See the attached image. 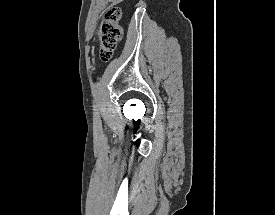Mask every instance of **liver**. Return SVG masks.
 <instances>
[{"label": "liver", "instance_id": "liver-1", "mask_svg": "<svg viewBox=\"0 0 275 215\" xmlns=\"http://www.w3.org/2000/svg\"><path fill=\"white\" fill-rule=\"evenodd\" d=\"M118 2H121L122 0H117Z\"/></svg>", "mask_w": 275, "mask_h": 215}]
</instances>
